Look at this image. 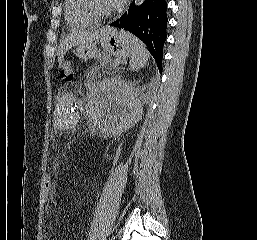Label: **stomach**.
I'll list each match as a JSON object with an SVG mask.
<instances>
[{"label": "stomach", "instance_id": "0dacf381", "mask_svg": "<svg viewBox=\"0 0 257 240\" xmlns=\"http://www.w3.org/2000/svg\"><path fill=\"white\" fill-rule=\"evenodd\" d=\"M97 42H99L107 52L118 57L124 58L130 56L131 44L126 38L124 31L107 27L104 35ZM97 42L89 45H79L76 49V55L84 61L95 57L97 54Z\"/></svg>", "mask_w": 257, "mask_h": 240}]
</instances>
